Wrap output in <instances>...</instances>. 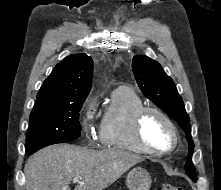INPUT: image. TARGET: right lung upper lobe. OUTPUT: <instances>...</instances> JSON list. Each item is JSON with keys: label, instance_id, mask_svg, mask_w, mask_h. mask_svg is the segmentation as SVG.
Masks as SVG:
<instances>
[{"label": "right lung upper lobe", "instance_id": "right-lung-upper-lobe-1", "mask_svg": "<svg viewBox=\"0 0 221 190\" xmlns=\"http://www.w3.org/2000/svg\"><path fill=\"white\" fill-rule=\"evenodd\" d=\"M93 60L87 54L67 56L42 84L34 106L84 101L92 86Z\"/></svg>", "mask_w": 221, "mask_h": 190}]
</instances>
